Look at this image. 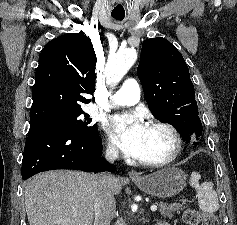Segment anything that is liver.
Returning a JSON list of instances; mask_svg holds the SVG:
<instances>
[{
  "label": "liver",
  "mask_w": 237,
  "mask_h": 225,
  "mask_svg": "<svg viewBox=\"0 0 237 225\" xmlns=\"http://www.w3.org/2000/svg\"><path fill=\"white\" fill-rule=\"evenodd\" d=\"M97 175L70 170L48 171L25 186L29 225H92L93 190ZM113 194L122 190L119 179Z\"/></svg>",
  "instance_id": "1"
}]
</instances>
